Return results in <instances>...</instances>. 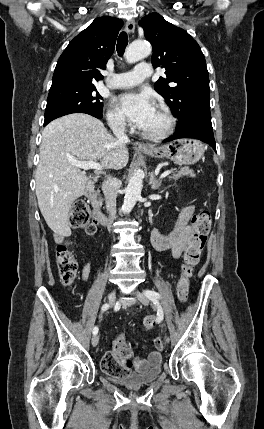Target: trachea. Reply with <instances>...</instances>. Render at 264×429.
Returning a JSON list of instances; mask_svg holds the SVG:
<instances>
[{
	"label": "trachea",
	"instance_id": "3493384b",
	"mask_svg": "<svg viewBox=\"0 0 264 429\" xmlns=\"http://www.w3.org/2000/svg\"><path fill=\"white\" fill-rule=\"evenodd\" d=\"M127 44H128L127 33L121 32L117 40V52L119 56H123Z\"/></svg>",
	"mask_w": 264,
	"mask_h": 429
}]
</instances>
